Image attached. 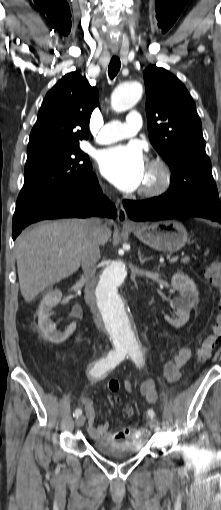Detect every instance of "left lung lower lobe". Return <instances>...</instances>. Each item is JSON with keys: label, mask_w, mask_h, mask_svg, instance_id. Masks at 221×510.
Here are the masks:
<instances>
[{"label": "left lung lower lobe", "mask_w": 221, "mask_h": 510, "mask_svg": "<svg viewBox=\"0 0 221 510\" xmlns=\"http://www.w3.org/2000/svg\"><path fill=\"white\" fill-rule=\"evenodd\" d=\"M123 204L135 221L202 217L221 223V203L216 199H169L162 195L143 201L125 200Z\"/></svg>", "instance_id": "1"}]
</instances>
